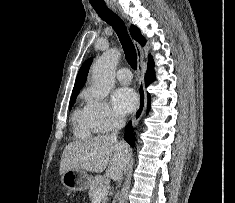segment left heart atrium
<instances>
[{"mask_svg": "<svg viewBox=\"0 0 235 203\" xmlns=\"http://www.w3.org/2000/svg\"><path fill=\"white\" fill-rule=\"evenodd\" d=\"M112 103L118 113L125 115L136 108L138 99L133 89L120 87L113 92Z\"/></svg>", "mask_w": 235, "mask_h": 203, "instance_id": "obj_1", "label": "left heart atrium"}]
</instances>
